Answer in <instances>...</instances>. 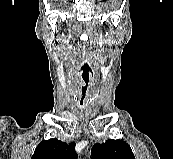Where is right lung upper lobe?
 <instances>
[{
    "label": "right lung upper lobe",
    "instance_id": "right-lung-upper-lobe-1",
    "mask_svg": "<svg viewBox=\"0 0 173 159\" xmlns=\"http://www.w3.org/2000/svg\"><path fill=\"white\" fill-rule=\"evenodd\" d=\"M75 143L66 144L56 138L44 140L36 147L31 159H77Z\"/></svg>",
    "mask_w": 173,
    "mask_h": 159
}]
</instances>
